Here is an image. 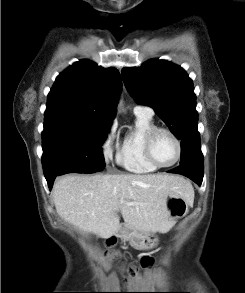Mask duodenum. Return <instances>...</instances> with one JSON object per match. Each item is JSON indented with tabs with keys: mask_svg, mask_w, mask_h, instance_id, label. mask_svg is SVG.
<instances>
[{
	"mask_svg": "<svg viewBox=\"0 0 245 293\" xmlns=\"http://www.w3.org/2000/svg\"><path fill=\"white\" fill-rule=\"evenodd\" d=\"M124 233V229L120 226L113 227V235L116 237H122Z\"/></svg>",
	"mask_w": 245,
	"mask_h": 293,
	"instance_id": "410a0bca",
	"label": "duodenum"
}]
</instances>
